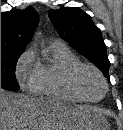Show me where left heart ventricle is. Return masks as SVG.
<instances>
[{"mask_svg":"<svg viewBox=\"0 0 123 130\" xmlns=\"http://www.w3.org/2000/svg\"><path fill=\"white\" fill-rule=\"evenodd\" d=\"M81 85L87 96L93 99L98 98L103 92V85L100 79L90 71L82 75Z\"/></svg>","mask_w":123,"mask_h":130,"instance_id":"b2bd125f","label":"left heart ventricle"}]
</instances>
